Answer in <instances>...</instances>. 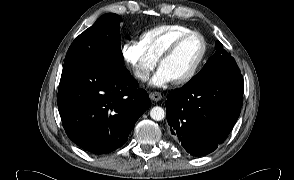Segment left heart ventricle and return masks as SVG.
<instances>
[{"label": "left heart ventricle", "instance_id": "left-heart-ventricle-1", "mask_svg": "<svg viewBox=\"0 0 294 180\" xmlns=\"http://www.w3.org/2000/svg\"><path fill=\"white\" fill-rule=\"evenodd\" d=\"M201 51L202 43L200 38L191 36L161 64V67L170 75L173 81L178 80L192 69Z\"/></svg>", "mask_w": 294, "mask_h": 180}]
</instances>
